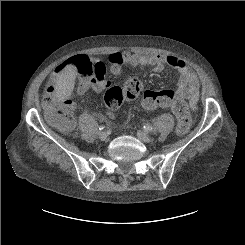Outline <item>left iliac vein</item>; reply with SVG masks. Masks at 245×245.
Segmentation results:
<instances>
[{"label":"left iliac vein","mask_w":245,"mask_h":245,"mask_svg":"<svg viewBox=\"0 0 245 245\" xmlns=\"http://www.w3.org/2000/svg\"><path fill=\"white\" fill-rule=\"evenodd\" d=\"M136 135L143 142H149L151 140L150 136L143 131H137Z\"/></svg>","instance_id":"left-iliac-vein-1"}]
</instances>
